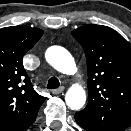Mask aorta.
I'll return each mask as SVG.
<instances>
[{
    "instance_id": "762f6f07",
    "label": "aorta",
    "mask_w": 131,
    "mask_h": 131,
    "mask_svg": "<svg viewBox=\"0 0 131 131\" xmlns=\"http://www.w3.org/2000/svg\"><path fill=\"white\" fill-rule=\"evenodd\" d=\"M48 63L57 71L71 75L76 71V65L71 54L64 48L52 46L47 49L45 54ZM67 106L72 110L83 107L86 101L85 90L79 85H73L65 95Z\"/></svg>"
}]
</instances>
